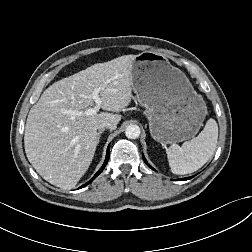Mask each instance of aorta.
I'll return each instance as SVG.
<instances>
[{
	"instance_id": "762f6f07",
	"label": "aorta",
	"mask_w": 252,
	"mask_h": 252,
	"mask_svg": "<svg viewBox=\"0 0 252 252\" xmlns=\"http://www.w3.org/2000/svg\"><path fill=\"white\" fill-rule=\"evenodd\" d=\"M140 128L137 125H129L125 129V135L129 139H137L140 136Z\"/></svg>"
}]
</instances>
